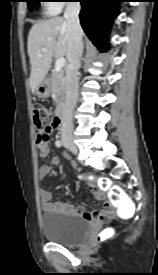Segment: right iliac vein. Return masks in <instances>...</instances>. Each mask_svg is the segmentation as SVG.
I'll use <instances>...</instances> for the list:
<instances>
[{"label":"right iliac vein","mask_w":158,"mask_h":275,"mask_svg":"<svg viewBox=\"0 0 158 275\" xmlns=\"http://www.w3.org/2000/svg\"><path fill=\"white\" fill-rule=\"evenodd\" d=\"M63 143L72 153L77 154L78 148L70 138H64Z\"/></svg>","instance_id":"obj_1"}]
</instances>
